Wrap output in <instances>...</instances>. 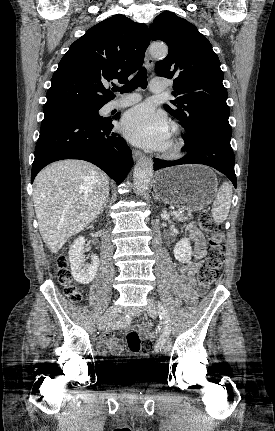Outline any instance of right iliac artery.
Masks as SVG:
<instances>
[{
	"label": "right iliac artery",
	"instance_id": "1",
	"mask_svg": "<svg viewBox=\"0 0 275 431\" xmlns=\"http://www.w3.org/2000/svg\"><path fill=\"white\" fill-rule=\"evenodd\" d=\"M130 323H131V318H130L129 316H127V317H125L124 319H122V320H120V321H117V322H115V323L108 324V326H109L111 329H121V328L126 327V326H127V325H129Z\"/></svg>",
	"mask_w": 275,
	"mask_h": 431
}]
</instances>
